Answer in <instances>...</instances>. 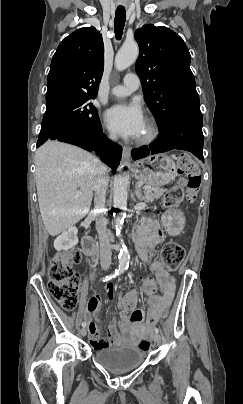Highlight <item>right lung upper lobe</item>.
<instances>
[{
	"instance_id": "cb5924a9",
	"label": "right lung upper lobe",
	"mask_w": 243,
	"mask_h": 404,
	"mask_svg": "<svg viewBox=\"0 0 243 404\" xmlns=\"http://www.w3.org/2000/svg\"><path fill=\"white\" fill-rule=\"evenodd\" d=\"M104 69V45L100 32L80 28L58 46L48 74L46 104L96 97Z\"/></svg>"
}]
</instances>
